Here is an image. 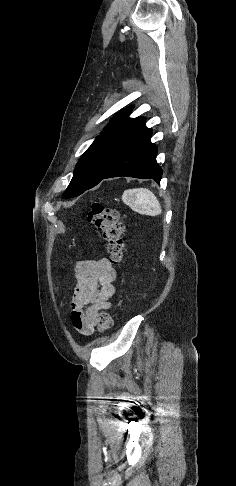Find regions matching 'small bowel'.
<instances>
[{"label": "small bowel", "mask_w": 236, "mask_h": 486, "mask_svg": "<svg viewBox=\"0 0 236 486\" xmlns=\"http://www.w3.org/2000/svg\"><path fill=\"white\" fill-rule=\"evenodd\" d=\"M115 279L116 270L105 258L85 260L76 265V286L72 295L70 320L82 335H91L99 313L111 308Z\"/></svg>", "instance_id": "obj_1"}]
</instances>
